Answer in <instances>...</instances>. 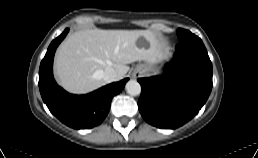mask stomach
<instances>
[{"instance_id":"obj_1","label":"stomach","mask_w":258,"mask_h":158,"mask_svg":"<svg viewBox=\"0 0 258 158\" xmlns=\"http://www.w3.org/2000/svg\"><path fill=\"white\" fill-rule=\"evenodd\" d=\"M135 71L136 72L139 71L143 75H148L150 73H154V74L159 73L158 69L154 65H151L148 63L139 64L136 67Z\"/></svg>"}]
</instances>
